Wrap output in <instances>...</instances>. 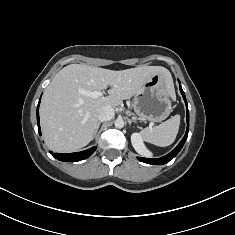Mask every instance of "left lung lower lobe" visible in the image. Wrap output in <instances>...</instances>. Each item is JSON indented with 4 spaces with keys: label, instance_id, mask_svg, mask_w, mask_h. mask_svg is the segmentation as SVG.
Returning a JSON list of instances; mask_svg holds the SVG:
<instances>
[{
    "label": "left lung lower lobe",
    "instance_id": "1",
    "mask_svg": "<svg viewBox=\"0 0 235 235\" xmlns=\"http://www.w3.org/2000/svg\"><path fill=\"white\" fill-rule=\"evenodd\" d=\"M180 83V81H179ZM180 92L183 96V99L185 101V104L187 106V100H186V97H185V94H184V91L182 90L181 88V85H180ZM188 131H189V111H188V108H187V130H186V133H185V136L183 137V139L180 141V143L177 145V147L171 151L169 154H167L166 156L164 157H161V158H157V159H148V158H143V157H138V159L141 161V162H144V163H147V164H154V165H163V164H166L168 163L171 159H173L178 153L179 151L182 149L186 139H187V136H188Z\"/></svg>",
    "mask_w": 235,
    "mask_h": 235
}]
</instances>
